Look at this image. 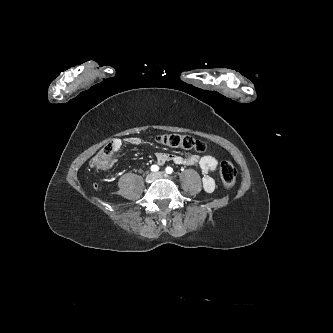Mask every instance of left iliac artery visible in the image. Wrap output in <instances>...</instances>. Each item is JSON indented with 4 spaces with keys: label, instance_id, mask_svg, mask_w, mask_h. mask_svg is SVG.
Masks as SVG:
<instances>
[{
    "label": "left iliac artery",
    "instance_id": "left-iliac-artery-1",
    "mask_svg": "<svg viewBox=\"0 0 333 333\" xmlns=\"http://www.w3.org/2000/svg\"><path fill=\"white\" fill-rule=\"evenodd\" d=\"M165 170L167 174H171L173 172V169L171 167H167Z\"/></svg>",
    "mask_w": 333,
    "mask_h": 333
}]
</instances>
